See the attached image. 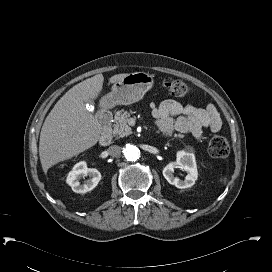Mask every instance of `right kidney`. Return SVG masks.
<instances>
[{"label": "right kidney", "mask_w": 272, "mask_h": 272, "mask_svg": "<svg viewBox=\"0 0 272 272\" xmlns=\"http://www.w3.org/2000/svg\"><path fill=\"white\" fill-rule=\"evenodd\" d=\"M85 176H89V179L84 184H81L79 179ZM100 180L101 173L97 169L87 168L86 162L80 161L69 172L66 182L74 192L84 194L94 189Z\"/></svg>", "instance_id": "obj_1"}]
</instances>
